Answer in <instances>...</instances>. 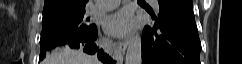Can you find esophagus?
<instances>
[{"label":"esophagus","mask_w":242,"mask_h":64,"mask_svg":"<svg viewBox=\"0 0 242 64\" xmlns=\"http://www.w3.org/2000/svg\"><path fill=\"white\" fill-rule=\"evenodd\" d=\"M130 43V36L127 37L124 41L122 42H119V49L121 52H124L127 48V46L129 45Z\"/></svg>","instance_id":"34e87169"}]
</instances>
